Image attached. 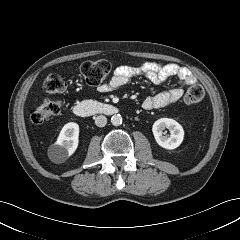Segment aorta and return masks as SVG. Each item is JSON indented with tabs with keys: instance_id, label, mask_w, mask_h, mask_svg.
Segmentation results:
<instances>
[{
	"instance_id": "762f6f07",
	"label": "aorta",
	"mask_w": 240,
	"mask_h": 240,
	"mask_svg": "<svg viewBox=\"0 0 240 240\" xmlns=\"http://www.w3.org/2000/svg\"><path fill=\"white\" fill-rule=\"evenodd\" d=\"M111 123H112V125H114V126H119V125H121V124H122V117H121V115H119V114L113 115V116L111 117Z\"/></svg>"
}]
</instances>
